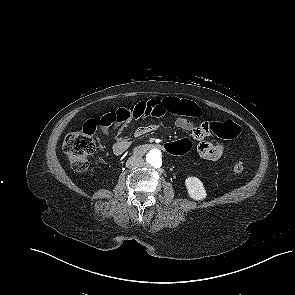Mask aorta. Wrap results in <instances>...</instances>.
I'll return each mask as SVG.
<instances>
[{
  "instance_id": "762f6f07",
  "label": "aorta",
  "mask_w": 295,
  "mask_h": 295,
  "mask_svg": "<svg viewBox=\"0 0 295 295\" xmlns=\"http://www.w3.org/2000/svg\"><path fill=\"white\" fill-rule=\"evenodd\" d=\"M146 160L154 168H159L162 166L161 152L157 149L151 150L146 155Z\"/></svg>"
}]
</instances>
